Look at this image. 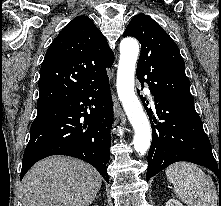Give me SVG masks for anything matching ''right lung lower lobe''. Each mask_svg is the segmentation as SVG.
<instances>
[{
    "instance_id": "98d812e1",
    "label": "right lung lower lobe",
    "mask_w": 221,
    "mask_h": 206,
    "mask_svg": "<svg viewBox=\"0 0 221 206\" xmlns=\"http://www.w3.org/2000/svg\"><path fill=\"white\" fill-rule=\"evenodd\" d=\"M112 120L108 76L74 98L38 109L24 152L20 180L37 161L51 155H67L90 163L109 182Z\"/></svg>"
}]
</instances>
